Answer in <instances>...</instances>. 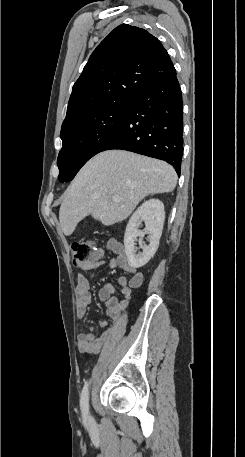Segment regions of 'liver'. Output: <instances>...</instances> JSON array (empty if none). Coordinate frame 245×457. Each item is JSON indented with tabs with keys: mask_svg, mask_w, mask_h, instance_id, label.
Instances as JSON below:
<instances>
[{
	"mask_svg": "<svg viewBox=\"0 0 245 457\" xmlns=\"http://www.w3.org/2000/svg\"><path fill=\"white\" fill-rule=\"evenodd\" d=\"M177 174L168 162L128 150H104L90 158L65 190L59 210L68 237L87 214L103 224L127 218L138 202L155 192H171ZM113 196H119L114 202Z\"/></svg>",
	"mask_w": 245,
	"mask_h": 457,
	"instance_id": "liver-1",
	"label": "liver"
}]
</instances>
